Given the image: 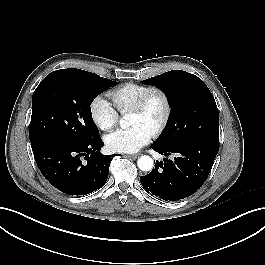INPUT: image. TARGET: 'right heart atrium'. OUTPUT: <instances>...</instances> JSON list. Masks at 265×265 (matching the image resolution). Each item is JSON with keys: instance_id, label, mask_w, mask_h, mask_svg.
<instances>
[{"instance_id": "1", "label": "right heart atrium", "mask_w": 265, "mask_h": 265, "mask_svg": "<svg viewBox=\"0 0 265 265\" xmlns=\"http://www.w3.org/2000/svg\"><path fill=\"white\" fill-rule=\"evenodd\" d=\"M89 113L93 123L102 131L112 129L119 119L115 108L101 95L95 97L90 103Z\"/></svg>"}]
</instances>
